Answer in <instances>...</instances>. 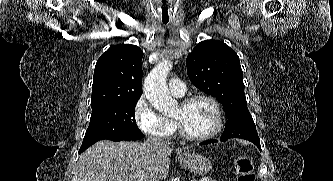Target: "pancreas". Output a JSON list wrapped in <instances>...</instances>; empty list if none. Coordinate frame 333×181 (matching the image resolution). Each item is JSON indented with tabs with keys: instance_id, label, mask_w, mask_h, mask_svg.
I'll use <instances>...</instances> for the list:
<instances>
[{
	"instance_id": "obj_1",
	"label": "pancreas",
	"mask_w": 333,
	"mask_h": 181,
	"mask_svg": "<svg viewBox=\"0 0 333 181\" xmlns=\"http://www.w3.org/2000/svg\"><path fill=\"white\" fill-rule=\"evenodd\" d=\"M207 181H216V180H214V179H208Z\"/></svg>"
}]
</instances>
